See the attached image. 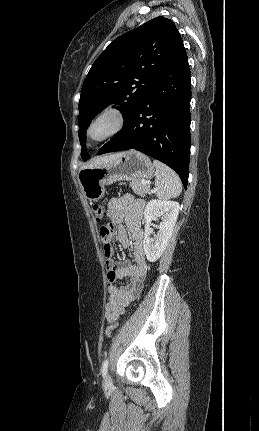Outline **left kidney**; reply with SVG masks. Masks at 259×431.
<instances>
[{
	"mask_svg": "<svg viewBox=\"0 0 259 431\" xmlns=\"http://www.w3.org/2000/svg\"><path fill=\"white\" fill-rule=\"evenodd\" d=\"M179 203L167 200H151L144 211L145 233L143 240L144 253L150 262L160 258L172 236V232L179 214ZM161 215V222L155 239L151 238V222Z\"/></svg>",
	"mask_w": 259,
	"mask_h": 431,
	"instance_id": "5707ae66",
	"label": "left kidney"
}]
</instances>
